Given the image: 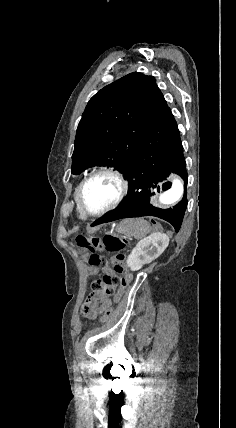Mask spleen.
Listing matches in <instances>:
<instances>
[{"label":"spleen","mask_w":236,"mask_h":428,"mask_svg":"<svg viewBox=\"0 0 236 428\" xmlns=\"http://www.w3.org/2000/svg\"><path fill=\"white\" fill-rule=\"evenodd\" d=\"M118 232L124 234V236H134L136 240H141L145 238L147 234H150L151 228L149 222L143 220V218H126L117 228Z\"/></svg>","instance_id":"3e777b00"}]
</instances>
